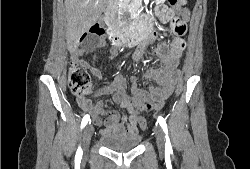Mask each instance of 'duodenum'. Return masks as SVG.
Wrapping results in <instances>:
<instances>
[{
	"instance_id": "duodenum-1",
	"label": "duodenum",
	"mask_w": 250,
	"mask_h": 169,
	"mask_svg": "<svg viewBox=\"0 0 250 169\" xmlns=\"http://www.w3.org/2000/svg\"><path fill=\"white\" fill-rule=\"evenodd\" d=\"M110 14V12H108ZM108 27V38L110 42L116 46H121L127 43L147 42L149 39V31L143 26L139 20H135L132 27L128 31L117 30L113 26V19L111 16L106 17Z\"/></svg>"
}]
</instances>
